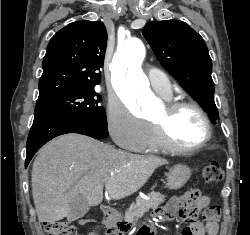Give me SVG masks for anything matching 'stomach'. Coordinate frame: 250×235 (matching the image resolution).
I'll use <instances>...</instances> for the list:
<instances>
[{"mask_svg":"<svg viewBox=\"0 0 250 235\" xmlns=\"http://www.w3.org/2000/svg\"><path fill=\"white\" fill-rule=\"evenodd\" d=\"M191 176V169L183 164H177L170 168L167 175V186L170 190L182 188Z\"/></svg>","mask_w":250,"mask_h":235,"instance_id":"stomach-1","label":"stomach"}]
</instances>
